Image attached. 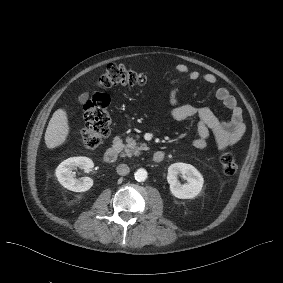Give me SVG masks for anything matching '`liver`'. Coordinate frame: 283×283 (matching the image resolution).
<instances>
[{"label":"liver","instance_id":"1","mask_svg":"<svg viewBox=\"0 0 283 283\" xmlns=\"http://www.w3.org/2000/svg\"><path fill=\"white\" fill-rule=\"evenodd\" d=\"M69 132L67 114L58 109L54 112L45 132V143L52 149L64 143Z\"/></svg>","mask_w":283,"mask_h":283}]
</instances>
